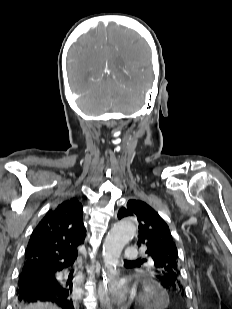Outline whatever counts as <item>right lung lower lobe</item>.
Returning a JSON list of instances; mask_svg holds the SVG:
<instances>
[{
  "label": "right lung lower lobe",
  "instance_id": "right-lung-lower-lobe-1",
  "mask_svg": "<svg viewBox=\"0 0 232 309\" xmlns=\"http://www.w3.org/2000/svg\"><path fill=\"white\" fill-rule=\"evenodd\" d=\"M71 265L61 264L40 269L37 263L25 262L16 289L18 306L22 308L29 303L52 302L63 309H74L72 278L63 274Z\"/></svg>",
  "mask_w": 232,
  "mask_h": 309
}]
</instances>
